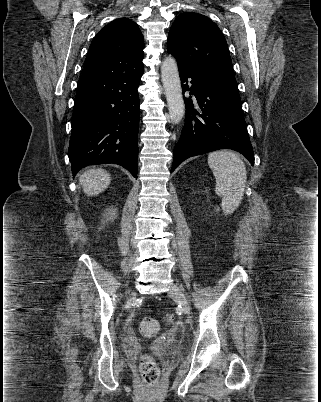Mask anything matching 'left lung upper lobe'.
Returning a JSON list of instances; mask_svg holds the SVG:
<instances>
[{"label": "left lung upper lobe", "instance_id": "5c2ea615", "mask_svg": "<svg viewBox=\"0 0 321 402\" xmlns=\"http://www.w3.org/2000/svg\"><path fill=\"white\" fill-rule=\"evenodd\" d=\"M167 50L179 65L234 77L226 40L218 26L204 15L180 14L170 29Z\"/></svg>", "mask_w": 321, "mask_h": 402}]
</instances>
